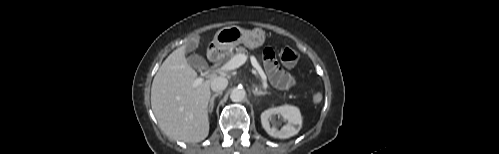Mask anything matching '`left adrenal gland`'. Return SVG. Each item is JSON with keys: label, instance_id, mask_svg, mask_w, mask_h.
I'll return each instance as SVG.
<instances>
[{"label": "left adrenal gland", "instance_id": "1", "mask_svg": "<svg viewBox=\"0 0 499 154\" xmlns=\"http://www.w3.org/2000/svg\"><path fill=\"white\" fill-rule=\"evenodd\" d=\"M252 93L254 94V96H261V95H266L267 91H261L258 90L257 87H255V89L252 90Z\"/></svg>", "mask_w": 499, "mask_h": 154}]
</instances>
